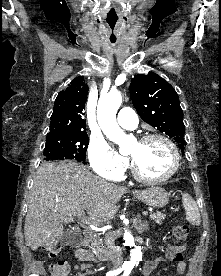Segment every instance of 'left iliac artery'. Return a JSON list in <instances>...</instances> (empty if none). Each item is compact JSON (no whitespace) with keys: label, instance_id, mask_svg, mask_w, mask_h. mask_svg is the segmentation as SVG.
Segmentation results:
<instances>
[{"label":"left iliac artery","instance_id":"44dca946","mask_svg":"<svg viewBox=\"0 0 221 276\" xmlns=\"http://www.w3.org/2000/svg\"><path fill=\"white\" fill-rule=\"evenodd\" d=\"M131 272V269H125L123 276H128V274Z\"/></svg>","mask_w":221,"mask_h":276}]
</instances>
